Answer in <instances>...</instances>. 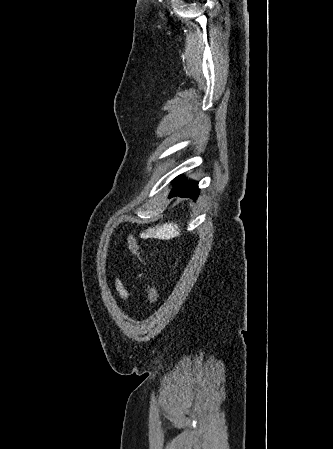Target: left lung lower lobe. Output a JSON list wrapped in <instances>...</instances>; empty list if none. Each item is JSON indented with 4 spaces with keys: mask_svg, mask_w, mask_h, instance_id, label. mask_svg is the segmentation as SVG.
Returning <instances> with one entry per match:
<instances>
[{
    "mask_svg": "<svg viewBox=\"0 0 333 449\" xmlns=\"http://www.w3.org/2000/svg\"><path fill=\"white\" fill-rule=\"evenodd\" d=\"M177 188L171 193L169 197H191L196 198L199 194L198 183L194 181H185L180 177L175 179Z\"/></svg>",
    "mask_w": 333,
    "mask_h": 449,
    "instance_id": "obj_1",
    "label": "left lung lower lobe"
}]
</instances>
